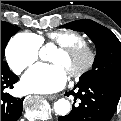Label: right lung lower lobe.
Here are the masks:
<instances>
[{
    "label": "right lung lower lobe",
    "mask_w": 121,
    "mask_h": 121,
    "mask_svg": "<svg viewBox=\"0 0 121 121\" xmlns=\"http://www.w3.org/2000/svg\"><path fill=\"white\" fill-rule=\"evenodd\" d=\"M18 80L7 64L1 65V121H16L22 113L24 98H14L4 93V89L13 88V84Z\"/></svg>",
    "instance_id": "right-lung-lower-lobe-1"
}]
</instances>
